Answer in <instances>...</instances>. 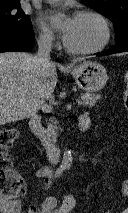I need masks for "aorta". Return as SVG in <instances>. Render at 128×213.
Returning <instances> with one entry per match:
<instances>
[{
	"instance_id": "1",
	"label": "aorta",
	"mask_w": 128,
	"mask_h": 213,
	"mask_svg": "<svg viewBox=\"0 0 128 213\" xmlns=\"http://www.w3.org/2000/svg\"><path fill=\"white\" fill-rule=\"evenodd\" d=\"M72 163V153L70 150H65L61 162V167L70 168Z\"/></svg>"
}]
</instances>
